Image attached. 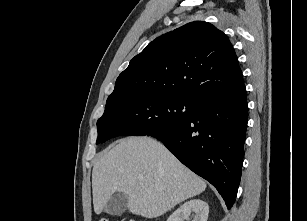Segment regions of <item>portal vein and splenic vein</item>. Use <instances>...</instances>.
<instances>
[{
  "instance_id": "portal-vein-and-splenic-vein-1",
  "label": "portal vein and splenic vein",
  "mask_w": 307,
  "mask_h": 221,
  "mask_svg": "<svg viewBox=\"0 0 307 221\" xmlns=\"http://www.w3.org/2000/svg\"><path fill=\"white\" fill-rule=\"evenodd\" d=\"M139 179H143V175H140V176H139Z\"/></svg>"
}]
</instances>
